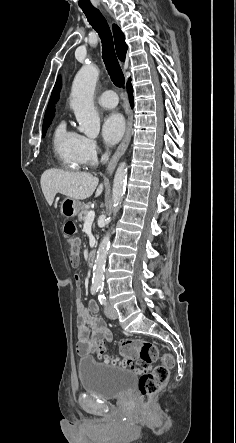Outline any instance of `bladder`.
<instances>
[{
	"mask_svg": "<svg viewBox=\"0 0 236 443\" xmlns=\"http://www.w3.org/2000/svg\"><path fill=\"white\" fill-rule=\"evenodd\" d=\"M78 371L84 392L103 399L126 396L137 378L134 371L98 363L90 357L79 360Z\"/></svg>",
	"mask_w": 236,
	"mask_h": 443,
	"instance_id": "1",
	"label": "bladder"
}]
</instances>
